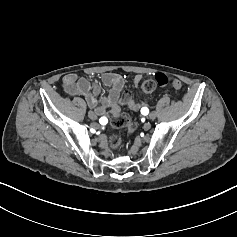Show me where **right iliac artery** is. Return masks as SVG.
Returning a JSON list of instances; mask_svg holds the SVG:
<instances>
[{
	"instance_id": "82829eb1",
	"label": "right iliac artery",
	"mask_w": 237,
	"mask_h": 237,
	"mask_svg": "<svg viewBox=\"0 0 237 237\" xmlns=\"http://www.w3.org/2000/svg\"><path fill=\"white\" fill-rule=\"evenodd\" d=\"M99 122H100L101 124H104V123H107L108 120H107L106 117H101L100 120H99Z\"/></svg>"
}]
</instances>
